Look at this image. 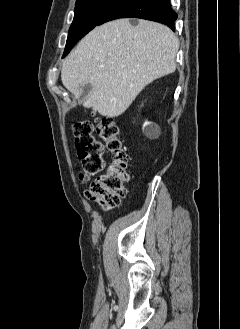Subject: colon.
Wrapping results in <instances>:
<instances>
[{"instance_id":"obj_1","label":"colon","mask_w":240,"mask_h":329,"mask_svg":"<svg viewBox=\"0 0 240 329\" xmlns=\"http://www.w3.org/2000/svg\"><path fill=\"white\" fill-rule=\"evenodd\" d=\"M97 128L113 158L105 172L91 184L87 197L97 202L103 209L110 210L118 207L126 195L129 157L122 146L119 128L113 117L102 116ZM73 134L81 164L80 177L82 180H88L103 169V145L93 138L92 124L88 121L76 122L73 126Z\"/></svg>"}]
</instances>
